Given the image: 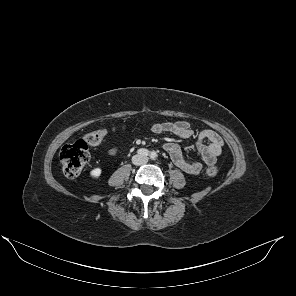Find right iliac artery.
Returning a JSON list of instances; mask_svg holds the SVG:
<instances>
[{"label":"right iliac artery","instance_id":"obj_1","mask_svg":"<svg viewBox=\"0 0 296 296\" xmlns=\"http://www.w3.org/2000/svg\"><path fill=\"white\" fill-rule=\"evenodd\" d=\"M137 153L139 154V155H142V156H149V151L147 150V149H144V148H141V149H139L138 151H137Z\"/></svg>","mask_w":296,"mask_h":296}]
</instances>
